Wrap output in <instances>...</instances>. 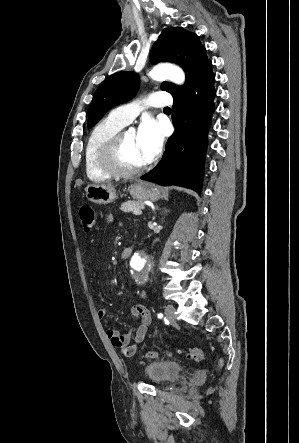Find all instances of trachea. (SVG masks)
Wrapping results in <instances>:
<instances>
[{"label":"trachea","instance_id":"obj_1","mask_svg":"<svg viewBox=\"0 0 299 443\" xmlns=\"http://www.w3.org/2000/svg\"><path fill=\"white\" fill-rule=\"evenodd\" d=\"M164 110H171L169 107L164 108Z\"/></svg>","mask_w":299,"mask_h":443}]
</instances>
